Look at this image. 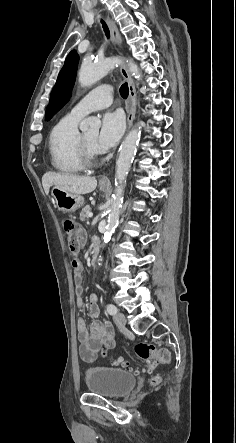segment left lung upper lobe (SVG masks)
I'll use <instances>...</instances> for the list:
<instances>
[{"mask_svg": "<svg viewBox=\"0 0 236 443\" xmlns=\"http://www.w3.org/2000/svg\"><path fill=\"white\" fill-rule=\"evenodd\" d=\"M79 56L72 50L61 69L56 84L51 92L50 101L46 109L45 120H49L69 100L76 78Z\"/></svg>", "mask_w": 236, "mask_h": 443, "instance_id": "5c2ea615", "label": "left lung upper lobe"}]
</instances>
